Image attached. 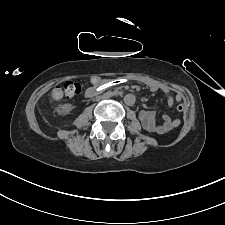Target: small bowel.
I'll return each instance as SVG.
<instances>
[{"label": "small bowel", "instance_id": "obj_1", "mask_svg": "<svg viewBox=\"0 0 225 225\" xmlns=\"http://www.w3.org/2000/svg\"><path fill=\"white\" fill-rule=\"evenodd\" d=\"M92 85L93 86L86 91V96H92L97 90L98 86L94 84ZM148 88L152 92L161 90L166 95L169 107H172L175 101H179L181 99V95L178 94L176 95V97H174L170 88L157 82L149 83ZM139 118L141 120L143 127L147 131L158 134L168 133L179 125V120L171 118L170 115L168 114H164L162 117L161 124H157L155 113L150 110H141L139 112Z\"/></svg>", "mask_w": 225, "mask_h": 225}]
</instances>
